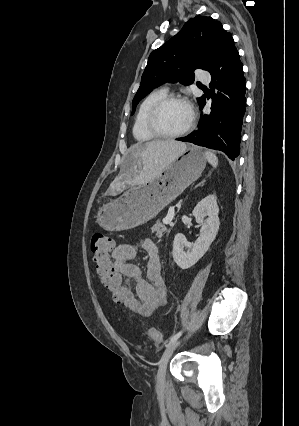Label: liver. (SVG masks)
Returning a JSON list of instances; mask_svg holds the SVG:
<instances>
[{"instance_id":"1","label":"liver","mask_w":299,"mask_h":426,"mask_svg":"<svg viewBox=\"0 0 299 426\" xmlns=\"http://www.w3.org/2000/svg\"><path fill=\"white\" fill-rule=\"evenodd\" d=\"M186 149L185 143L174 140H154L131 146L127 164L136 173L134 182L142 184L156 179Z\"/></svg>"}]
</instances>
